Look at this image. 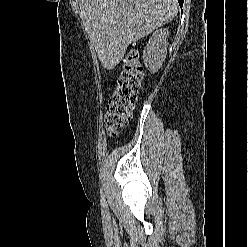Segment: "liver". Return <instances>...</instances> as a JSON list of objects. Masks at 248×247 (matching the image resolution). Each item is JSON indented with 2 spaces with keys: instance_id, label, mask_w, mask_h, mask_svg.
<instances>
[{
  "instance_id": "1",
  "label": "liver",
  "mask_w": 248,
  "mask_h": 247,
  "mask_svg": "<svg viewBox=\"0 0 248 247\" xmlns=\"http://www.w3.org/2000/svg\"><path fill=\"white\" fill-rule=\"evenodd\" d=\"M80 17L103 66L114 69L127 47L170 22L177 0H79Z\"/></svg>"
}]
</instances>
